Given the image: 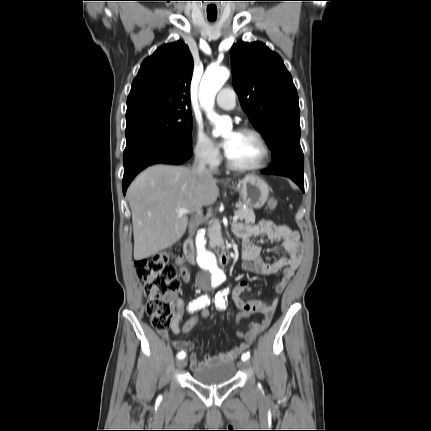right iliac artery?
<instances>
[{"label": "right iliac artery", "instance_id": "obj_1", "mask_svg": "<svg viewBox=\"0 0 431 431\" xmlns=\"http://www.w3.org/2000/svg\"><path fill=\"white\" fill-rule=\"evenodd\" d=\"M209 304L210 303V300H209V298H208V296L207 295H203V296H201L200 298H198L197 300H194L193 302H191L190 304H189V311H194V310H197V309H200V308H202L203 306H205L206 304ZM185 356H186V354L184 353V352H179L178 354H177V357L179 358V359H183V358H185Z\"/></svg>", "mask_w": 431, "mask_h": 431}]
</instances>
